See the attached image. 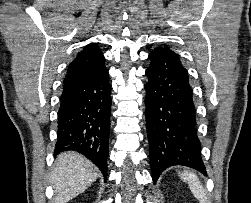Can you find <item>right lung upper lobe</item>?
I'll list each match as a JSON object with an SVG mask.
<instances>
[{
    "instance_id": "right-lung-upper-lobe-1",
    "label": "right lung upper lobe",
    "mask_w": 251,
    "mask_h": 203,
    "mask_svg": "<svg viewBox=\"0 0 251 203\" xmlns=\"http://www.w3.org/2000/svg\"><path fill=\"white\" fill-rule=\"evenodd\" d=\"M105 63V58L95 43L87 45L68 67L64 88L88 76Z\"/></svg>"
}]
</instances>
